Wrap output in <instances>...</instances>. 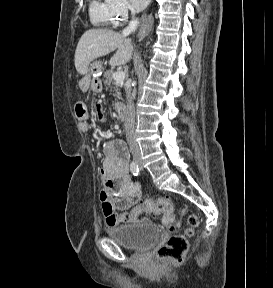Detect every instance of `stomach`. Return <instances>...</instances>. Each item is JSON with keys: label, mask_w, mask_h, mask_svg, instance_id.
<instances>
[{"label": "stomach", "mask_w": 273, "mask_h": 288, "mask_svg": "<svg viewBox=\"0 0 273 288\" xmlns=\"http://www.w3.org/2000/svg\"><path fill=\"white\" fill-rule=\"evenodd\" d=\"M103 63L101 61H94L88 68V75L83 79V83L87 84V89L93 93H100L102 90L99 74L102 72ZM93 76V77H92Z\"/></svg>", "instance_id": "1"}]
</instances>
